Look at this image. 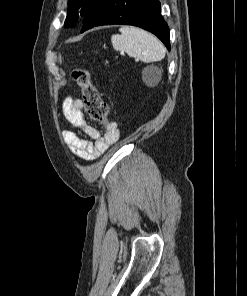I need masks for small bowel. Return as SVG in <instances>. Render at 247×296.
I'll use <instances>...</instances> for the list:
<instances>
[{"instance_id": "small-bowel-1", "label": "small bowel", "mask_w": 247, "mask_h": 296, "mask_svg": "<svg viewBox=\"0 0 247 296\" xmlns=\"http://www.w3.org/2000/svg\"><path fill=\"white\" fill-rule=\"evenodd\" d=\"M84 110L83 101L77 97H67L62 103L65 118L91 140L82 138L69 130L63 131V139L74 155L91 161L103 154L109 146L118 140L119 131L116 123L112 122L109 131L105 135H101L95 127L88 123Z\"/></svg>"}]
</instances>
